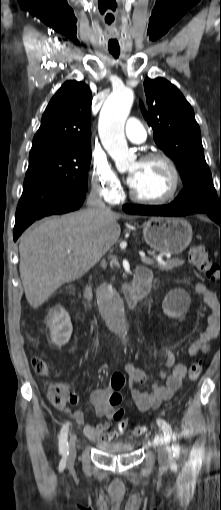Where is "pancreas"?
I'll return each instance as SVG.
<instances>
[{"mask_svg": "<svg viewBox=\"0 0 221 510\" xmlns=\"http://www.w3.org/2000/svg\"><path fill=\"white\" fill-rule=\"evenodd\" d=\"M148 254L153 256L154 258H156V253L154 251H148ZM184 264V261L182 259H179V258H173V259H168L166 260V262L163 264V263H157L156 265H154V267L158 268L159 270H162V271H170L176 267H179L181 265Z\"/></svg>", "mask_w": 221, "mask_h": 510, "instance_id": "obj_1", "label": "pancreas"}]
</instances>
